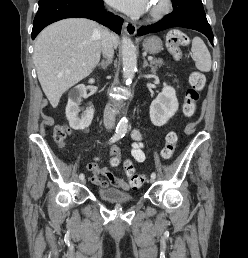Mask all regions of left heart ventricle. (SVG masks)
<instances>
[{
  "label": "left heart ventricle",
  "mask_w": 248,
  "mask_h": 258,
  "mask_svg": "<svg viewBox=\"0 0 248 258\" xmlns=\"http://www.w3.org/2000/svg\"><path fill=\"white\" fill-rule=\"evenodd\" d=\"M158 1H159V0H154L153 4L151 5V8L154 7L155 5H157V4H158ZM151 8H150V9H151Z\"/></svg>",
  "instance_id": "1"
}]
</instances>
